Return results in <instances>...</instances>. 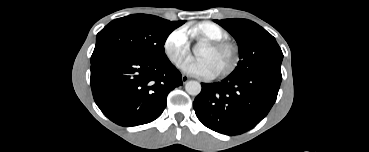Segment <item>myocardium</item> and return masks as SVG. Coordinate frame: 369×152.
Listing matches in <instances>:
<instances>
[{"label": "myocardium", "mask_w": 369, "mask_h": 152, "mask_svg": "<svg viewBox=\"0 0 369 152\" xmlns=\"http://www.w3.org/2000/svg\"><path fill=\"white\" fill-rule=\"evenodd\" d=\"M203 46L208 47L213 50L230 49L232 51L233 58H232L231 64L223 71L215 74L214 76L215 78L227 77L237 69L239 62H240V53H239V49L236 46V44L226 39V40L207 41L203 44Z\"/></svg>", "instance_id": "1"}]
</instances>
